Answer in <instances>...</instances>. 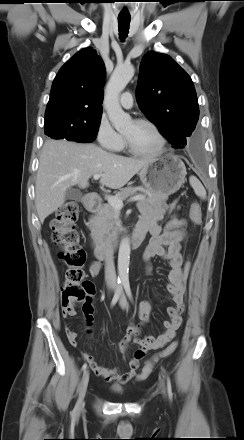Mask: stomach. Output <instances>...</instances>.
<instances>
[{"label":"stomach","instance_id":"1","mask_svg":"<svg viewBox=\"0 0 244 440\" xmlns=\"http://www.w3.org/2000/svg\"><path fill=\"white\" fill-rule=\"evenodd\" d=\"M186 167L177 156L167 154L153 159L139 172L143 187L151 194L168 197L185 182Z\"/></svg>","mask_w":244,"mask_h":440}]
</instances>
